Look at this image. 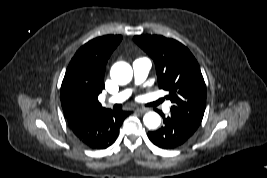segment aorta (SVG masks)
Masks as SVG:
<instances>
[{
  "label": "aorta",
  "mask_w": 267,
  "mask_h": 178,
  "mask_svg": "<svg viewBox=\"0 0 267 178\" xmlns=\"http://www.w3.org/2000/svg\"><path fill=\"white\" fill-rule=\"evenodd\" d=\"M110 76L116 83L125 85L131 81L133 70L128 63L120 61L112 66ZM143 122L147 128L156 129L161 123V117L156 112L150 111L144 115Z\"/></svg>",
  "instance_id": "762f6f07"
}]
</instances>
